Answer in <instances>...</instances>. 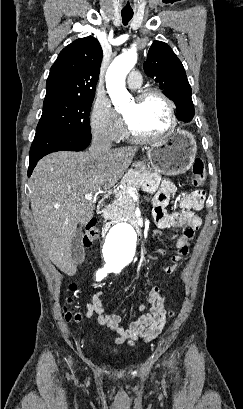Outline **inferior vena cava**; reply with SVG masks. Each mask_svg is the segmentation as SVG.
Returning a JSON list of instances; mask_svg holds the SVG:
<instances>
[{"instance_id": "obj_1", "label": "inferior vena cava", "mask_w": 243, "mask_h": 409, "mask_svg": "<svg viewBox=\"0 0 243 409\" xmlns=\"http://www.w3.org/2000/svg\"><path fill=\"white\" fill-rule=\"evenodd\" d=\"M111 141L103 135L94 134L91 147L89 149V154L92 157L101 156L107 152H109L111 148Z\"/></svg>"}]
</instances>
